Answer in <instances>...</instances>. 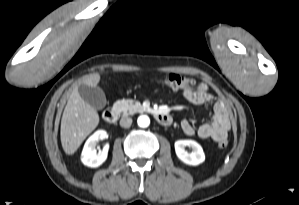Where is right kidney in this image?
Masks as SVG:
<instances>
[{
    "instance_id": "right-kidney-1",
    "label": "right kidney",
    "mask_w": 299,
    "mask_h": 205,
    "mask_svg": "<svg viewBox=\"0 0 299 205\" xmlns=\"http://www.w3.org/2000/svg\"><path fill=\"white\" fill-rule=\"evenodd\" d=\"M107 137L106 131L98 130L87 139L81 154V161L84 165L96 168L105 162L108 156L109 146L106 145L102 150L97 152L96 145L99 141Z\"/></svg>"
}]
</instances>
